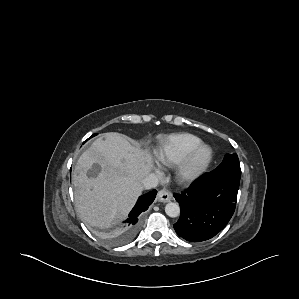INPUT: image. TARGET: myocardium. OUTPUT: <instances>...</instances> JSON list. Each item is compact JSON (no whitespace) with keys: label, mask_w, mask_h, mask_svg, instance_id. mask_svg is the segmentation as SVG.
Masks as SVG:
<instances>
[{"label":"myocardium","mask_w":299,"mask_h":299,"mask_svg":"<svg viewBox=\"0 0 299 299\" xmlns=\"http://www.w3.org/2000/svg\"><path fill=\"white\" fill-rule=\"evenodd\" d=\"M206 151V157L200 159ZM214 157L213 148L208 144L198 145L179 165L177 178L184 184L193 183L199 179L209 168Z\"/></svg>","instance_id":"obj_1"}]
</instances>
